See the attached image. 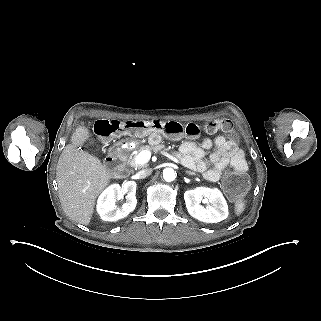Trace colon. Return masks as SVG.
I'll return each instance as SVG.
<instances>
[{
	"instance_id": "5ec220e1",
	"label": "colon",
	"mask_w": 321,
	"mask_h": 321,
	"mask_svg": "<svg viewBox=\"0 0 321 321\" xmlns=\"http://www.w3.org/2000/svg\"><path fill=\"white\" fill-rule=\"evenodd\" d=\"M232 130V123L225 118L209 120L203 127V131L207 134L231 133ZM93 132L100 139L124 134L141 135L147 132H164L172 137L188 136L196 138L201 134L202 129L195 123L182 125L176 121L141 120L122 122L119 120H99L95 122ZM222 187L230 198H240L249 187V177L243 170L234 168L233 171L224 175Z\"/></svg>"
}]
</instances>
